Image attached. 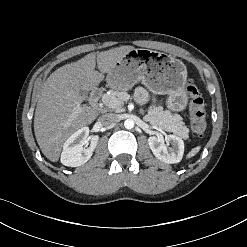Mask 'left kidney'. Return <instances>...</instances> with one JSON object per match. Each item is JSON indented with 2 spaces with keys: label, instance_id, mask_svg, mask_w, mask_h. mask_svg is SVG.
<instances>
[{
  "label": "left kidney",
  "instance_id": "1",
  "mask_svg": "<svg viewBox=\"0 0 247 247\" xmlns=\"http://www.w3.org/2000/svg\"><path fill=\"white\" fill-rule=\"evenodd\" d=\"M167 146L164 143L163 136H151L148 138V144L154 156L167 164L179 163L184 154V142L180 137L168 135L165 137Z\"/></svg>",
  "mask_w": 247,
  "mask_h": 247
}]
</instances>
